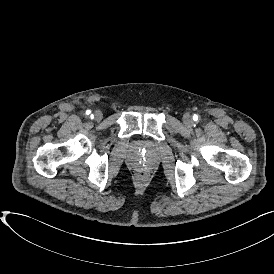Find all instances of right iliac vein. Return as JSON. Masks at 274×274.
<instances>
[{"mask_svg": "<svg viewBox=\"0 0 274 274\" xmlns=\"http://www.w3.org/2000/svg\"><path fill=\"white\" fill-rule=\"evenodd\" d=\"M93 118L96 120V121H100L102 118H103V114L100 110H96L94 111L93 113Z\"/></svg>", "mask_w": 274, "mask_h": 274, "instance_id": "obj_1", "label": "right iliac vein"}]
</instances>
